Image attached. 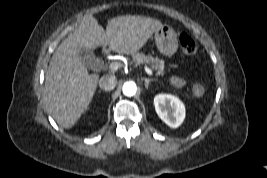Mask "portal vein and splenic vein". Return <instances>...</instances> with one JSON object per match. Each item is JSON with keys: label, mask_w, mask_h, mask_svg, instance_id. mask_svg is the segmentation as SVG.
<instances>
[{"label": "portal vein and splenic vein", "mask_w": 267, "mask_h": 178, "mask_svg": "<svg viewBox=\"0 0 267 178\" xmlns=\"http://www.w3.org/2000/svg\"><path fill=\"white\" fill-rule=\"evenodd\" d=\"M121 67V64L118 63V62H112L110 63L109 65V68L110 70L112 71H117L119 68ZM144 70L145 72L149 75V76H152L153 75V72L150 68H148L147 66H144Z\"/></svg>", "instance_id": "portal-vein-and-splenic-vein-1"}]
</instances>
